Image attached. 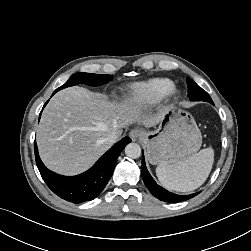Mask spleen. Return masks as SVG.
<instances>
[{"mask_svg":"<svg viewBox=\"0 0 251 251\" xmlns=\"http://www.w3.org/2000/svg\"><path fill=\"white\" fill-rule=\"evenodd\" d=\"M213 162V149L205 148L188 160L176 164L158 165L156 175L165 188L179 192H190L206 181Z\"/></svg>","mask_w":251,"mask_h":251,"instance_id":"1","label":"spleen"}]
</instances>
